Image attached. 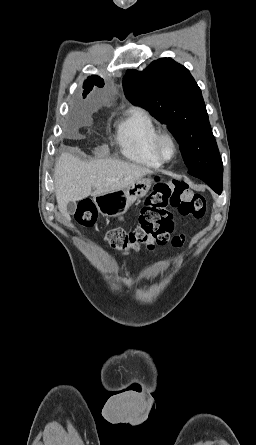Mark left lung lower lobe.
<instances>
[{
    "instance_id": "obj_1",
    "label": "left lung lower lobe",
    "mask_w": 256,
    "mask_h": 445,
    "mask_svg": "<svg viewBox=\"0 0 256 445\" xmlns=\"http://www.w3.org/2000/svg\"><path fill=\"white\" fill-rule=\"evenodd\" d=\"M190 175L195 176L205 183H207L216 193L221 194L222 192V171H214V170H196L189 171Z\"/></svg>"
}]
</instances>
